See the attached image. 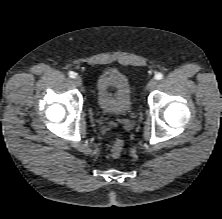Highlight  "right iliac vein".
<instances>
[{
    "label": "right iliac vein",
    "mask_w": 222,
    "mask_h": 219,
    "mask_svg": "<svg viewBox=\"0 0 222 219\" xmlns=\"http://www.w3.org/2000/svg\"><path fill=\"white\" fill-rule=\"evenodd\" d=\"M73 83L76 85V86H81L83 81H82V78L80 76H76L73 80Z\"/></svg>",
    "instance_id": "right-iliac-vein-1"
}]
</instances>
